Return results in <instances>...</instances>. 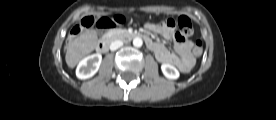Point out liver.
<instances>
[{"label": "liver", "mask_w": 276, "mask_h": 120, "mask_svg": "<svg viewBox=\"0 0 276 120\" xmlns=\"http://www.w3.org/2000/svg\"><path fill=\"white\" fill-rule=\"evenodd\" d=\"M97 44L95 30H87L72 40L67 45L65 60L69 68H74L77 63L92 52Z\"/></svg>", "instance_id": "1"}]
</instances>
